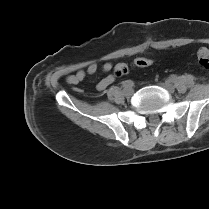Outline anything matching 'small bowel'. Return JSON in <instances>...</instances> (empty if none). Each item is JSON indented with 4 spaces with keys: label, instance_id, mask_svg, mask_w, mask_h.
<instances>
[{
    "label": "small bowel",
    "instance_id": "c3829d8e",
    "mask_svg": "<svg viewBox=\"0 0 209 209\" xmlns=\"http://www.w3.org/2000/svg\"><path fill=\"white\" fill-rule=\"evenodd\" d=\"M110 69H111V65L108 64V63L105 64V65L103 66V70H104L105 72H108ZM95 71H96V67H95V66H90V67L88 68V70H87V73H88L89 75H92V74L95 73ZM109 83H110V79H109V78H106V79H104V80H102V81L100 82V84L98 85V88H99L100 90H103V89H105V88L108 86Z\"/></svg>",
    "mask_w": 209,
    "mask_h": 209
}]
</instances>
